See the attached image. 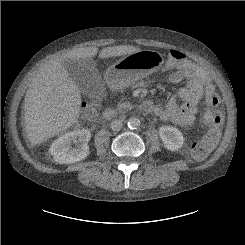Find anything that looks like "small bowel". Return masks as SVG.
<instances>
[{"mask_svg":"<svg viewBox=\"0 0 245 245\" xmlns=\"http://www.w3.org/2000/svg\"><path fill=\"white\" fill-rule=\"evenodd\" d=\"M205 79L213 86L211 77L205 68L190 60L177 64L169 81L172 84H180L185 81L186 86L171 96L165 106L156 105V108L149 112L181 127L191 126L198 105L206 94L203 86ZM179 101L183 103L180 105Z\"/></svg>","mask_w":245,"mask_h":245,"instance_id":"small-bowel-1","label":"small bowel"}]
</instances>
